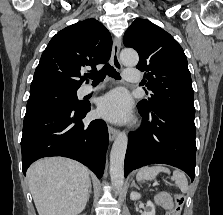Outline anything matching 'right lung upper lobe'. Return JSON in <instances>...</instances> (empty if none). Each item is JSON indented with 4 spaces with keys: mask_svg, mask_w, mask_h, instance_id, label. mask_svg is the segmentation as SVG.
<instances>
[{
    "mask_svg": "<svg viewBox=\"0 0 223 215\" xmlns=\"http://www.w3.org/2000/svg\"><path fill=\"white\" fill-rule=\"evenodd\" d=\"M112 48L109 31L95 19H86L59 31L42 53L30 93L77 91L84 77L82 68L105 63ZM81 77V80H76Z\"/></svg>",
    "mask_w": 223,
    "mask_h": 215,
    "instance_id": "obj_1",
    "label": "right lung upper lobe"
}]
</instances>
